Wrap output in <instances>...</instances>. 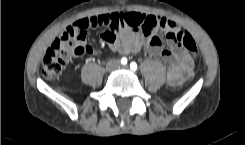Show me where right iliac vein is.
I'll return each mask as SVG.
<instances>
[{"instance_id":"63e3f726","label":"right iliac vein","mask_w":245,"mask_h":145,"mask_svg":"<svg viewBox=\"0 0 245 145\" xmlns=\"http://www.w3.org/2000/svg\"><path fill=\"white\" fill-rule=\"evenodd\" d=\"M118 65V62L116 60H111L107 63L106 69L108 71H113Z\"/></svg>"}]
</instances>
